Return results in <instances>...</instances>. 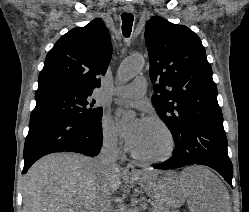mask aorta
<instances>
[{"label": "aorta", "instance_id": "762f6f07", "mask_svg": "<svg viewBox=\"0 0 249 212\" xmlns=\"http://www.w3.org/2000/svg\"><path fill=\"white\" fill-rule=\"evenodd\" d=\"M144 64V58L143 56H132L127 59H125L118 69L117 78L120 82H126L133 77H135L140 70L142 69ZM126 116L133 115L132 112H126ZM129 212H132V210H129Z\"/></svg>", "mask_w": 249, "mask_h": 212}]
</instances>
